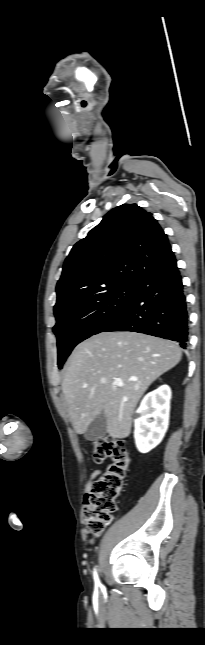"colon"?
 <instances>
[{
  "mask_svg": "<svg viewBox=\"0 0 205 645\" xmlns=\"http://www.w3.org/2000/svg\"><path fill=\"white\" fill-rule=\"evenodd\" d=\"M92 455L96 463L112 460L102 476L93 483L84 502L86 532L97 537L117 510V498L123 490L131 458L125 444L112 438L97 439Z\"/></svg>",
  "mask_w": 205,
  "mask_h": 645,
  "instance_id": "obj_1",
  "label": "colon"
}]
</instances>
